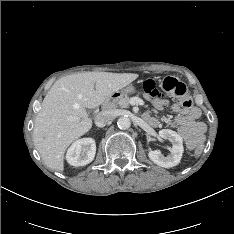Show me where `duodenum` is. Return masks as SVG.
<instances>
[{
	"label": "duodenum",
	"instance_id": "obj_1",
	"mask_svg": "<svg viewBox=\"0 0 234 234\" xmlns=\"http://www.w3.org/2000/svg\"><path fill=\"white\" fill-rule=\"evenodd\" d=\"M120 97L119 93H114L112 95H110L103 103L102 108L104 110H108L110 108L113 107V105L115 104V102L118 100V98Z\"/></svg>",
	"mask_w": 234,
	"mask_h": 234
}]
</instances>
